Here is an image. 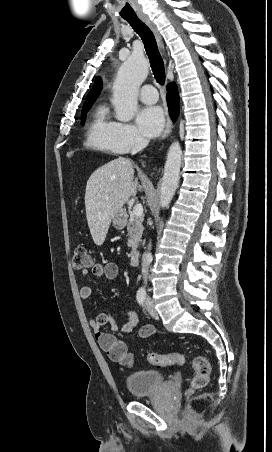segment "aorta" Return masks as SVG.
Instances as JSON below:
<instances>
[{"label": "aorta", "mask_w": 272, "mask_h": 452, "mask_svg": "<svg viewBox=\"0 0 272 452\" xmlns=\"http://www.w3.org/2000/svg\"><path fill=\"white\" fill-rule=\"evenodd\" d=\"M148 74V63L143 55L132 54L119 68L113 85L112 103L115 116L120 121H130L137 112L138 89ZM182 149L173 142L167 154L160 189V205L168 207L178 186ZM144 289L139 288L138 293Z\"/></svg>", "instance_id": "obj_1"}]
</instances>
